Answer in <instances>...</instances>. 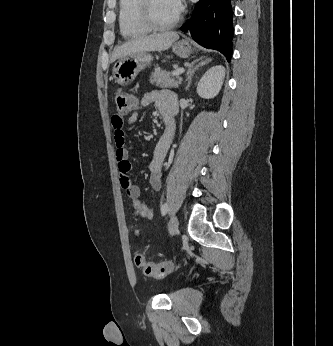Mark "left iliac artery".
Returning a JSON list of instances; mask_svg holds the SVG:
<instances>
[{
	"instance_id": "1",
	"label": "left iliac artery",
	"mask_w": 333,
	"mask_h": 346,
	"mask_svg": "<svg viewBox=\"0 0 333 346\" xmlns=\"http://www.w3.org/2000/svg\"><path fill=\"white\" fill-rule=\"evenodd\" d=\"M167 211H168V203H164L161 206V214L164 216V215H166Z\"/></svg>"
}]
</instances>
